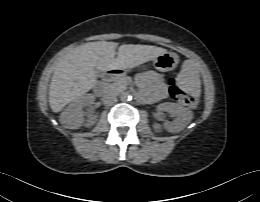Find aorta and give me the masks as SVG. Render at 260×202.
<instances>
[{"label":"aorta","mask_w":260,"mask_h":202,"mask_svg":"<svg viewBox=\"0 0 260 202\" xmlns=\"http://www.w3.org/2000/svg\"><path fill=\"white\" fill-rule=\"evenodd\" d=\"M120 99L121 101L125 102V101H130L132 100V96L128 93V92H123L121 95H120Z\"/></svg>","instance_id":"aorta-1"}]
</instances>
